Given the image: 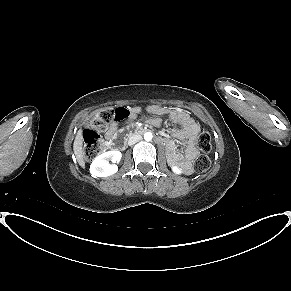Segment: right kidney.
<instances>
[{
    "mask_svg": "<svg viewBox=\"0 0 291 291\" xmlns=\"http://www.w3.org/2000/svg\"><path fill=\"white\" fill-rule=\"evenodd\" d=\"M122 154L118 150L108 151L97 156L90 165V173L95 177H107L118 171V166ZM112 161L113 164H110Z\"/></svg>",
    "mask_w": 291,
    "mask_h": 291,
    "instance_id": "1",
    "label": "right kidney"
}]
</instances>
